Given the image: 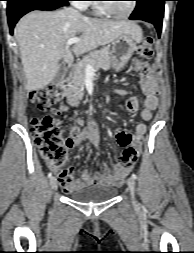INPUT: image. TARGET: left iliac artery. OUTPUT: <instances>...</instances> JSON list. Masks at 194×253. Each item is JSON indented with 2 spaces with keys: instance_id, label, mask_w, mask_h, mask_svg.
Here are the masks:
<instances>
[{
  "instance_id": "left-iliac-artery-1",
  "label": "left iliac artery",
  "mask_w": 194,
  "mask_h": 253,
  "mask_svg": "<svg viewBox=\"0 0 194 253\" xmlns=\"http://www.w3.org/2000/svg\"><path fill=\"white\" fill-rule=\"evenodd\" d=\"M131 177H132L133 179H137V175H136L135 173H132Z\"/></svg>"
}]
</instances>
